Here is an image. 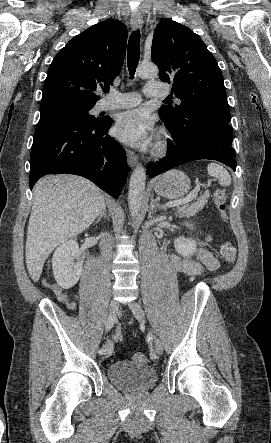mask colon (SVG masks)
I'll return each instance as SVG.
<instances>
[{
	"label": "colon",
	"instance_id": "5ec220e1",
	"mask_svg": "<svg viewBox=\"0 0 271 443\" xmlns=\"http://www.w3.org/2000/svg\"><path fill=\"white\" fill-rule=\"evenodd\" d=\"M214 201H215V206L218 211L219 217L222 220H225L227 217V212H226L227 195H226L225 190L218 189L215 192ZM220 255L228 263H234L236 260V250L230 242H224L221 244ZM133 358L138 363H147L148 362V357L144 353H136V354H134Z\"/></svg>",
	"mask_w": 271,
	"mask_h": 443
}]
</instances>
